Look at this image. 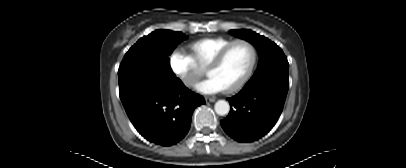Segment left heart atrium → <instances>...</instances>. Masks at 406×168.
I'll use <instances>...</instances> for the list:
<instances>
[{"label": "left heart atrium", "mask_w": 406, "mask_h": 168, "mask_svg": "<svg viewBox=\"0 0 406 168\" xmlns=\"http://www.w3.org/2000/svg\"><path fill=\"white\" fill-rule=\"evenodd\" d=\"M196 88L203 94H214L224 90L223 86L212 76L200 82Z\"/></svg>", "instance_id": "left-heart-atrium-1"}]
</instances>
